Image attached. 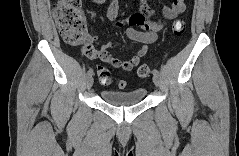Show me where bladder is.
<instances>
[{"label":"bladder","instance_id":"obj_1","mask_svg":"<svg viewBox=\"0 0 239 156\" xmlns=\"http://www.w3.org/2000/svg\"><path fill=\"white\" fill-rule=\"evenodd\" d=\"M147 90L144 87H137L129 91L102 90V99L111 105L129 106L144 100Z\"/></svg>","mask_w":239,"mask_h":156}]
</instances>
